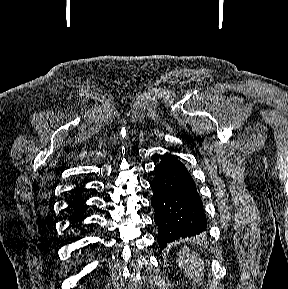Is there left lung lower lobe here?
<instances>
[{
    "instance_id": "1",
    "label": "left lung lower lobe",
    "mask_w": 288,
    "mask_h": 289,
    "mask_svg": "<svg viewBox=\"0 0 288 289\" xmlns=\"http://www.w3.org/2000/svg\"><path fill=\"white\" fill-rule=\"evenodd\" d=\"M154 171L151 205L162 250L167 243L205 231L207 220L195 182L183 163L165 154Z\"/></svg>"
}]
</instances>
